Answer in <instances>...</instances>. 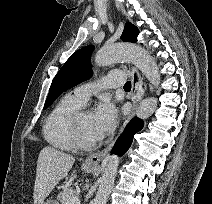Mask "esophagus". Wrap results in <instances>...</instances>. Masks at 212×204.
<instances>
[{
  "label": "esophagus",
  "instance_id": "1",
  "mask_svg": "<svg viewBox=\"0 0 212 204\" xmlns=\"http://www.w3.org/2000/svg\"><path fill=\"white\" fill-rule=\"evenodd\" d=\"M130 77L132 81V90H131V95L133 99V107L131 113L127 116L125 123L121 127L120 133L123 131L125 125L130 121V119L133 117L135 113L136 106L138 102L142 99L143 97V91H142V83H143V78L140 75L139 71L131 66L130 67ZM115 141H113L111 144H109L105 149H103L100 152L93 153L89 155L85 159V165L88 166H97L106 156V154L111 150L113 147Z\"/></svg>",
  "mask_w": 212,
  "mask_h": 204
}]
</instances>
